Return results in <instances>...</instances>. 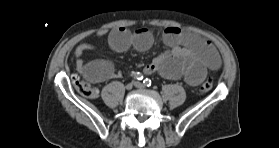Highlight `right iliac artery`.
<instances>
[{
	"instance_id": "82829eb1",
	"label": "right iliac artery",
	"mask_w": 279,
	"mask_h": 148,
	"mask_svg": "<svg viewBox=\"0 0 279 148\" xmlns=\"http://www.w3.org/2000/svg\"><path fill=\"white\" fill-rule=\"evenodd\" d=\"M131 76H133L137 80L143 79V75L140 72H133Z\"/></svg>"
}]
</instances>
